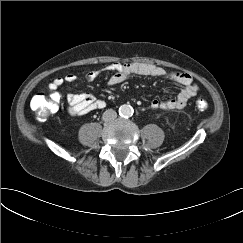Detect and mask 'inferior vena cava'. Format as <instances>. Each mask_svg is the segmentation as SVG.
<instances>
[{
	"instance_id": "obj_1",
	"label": "inferior vena cava",
	"mask_w": 243,
	"mask_h": 243,
	"mask_svg": "<svg viewBox=\"0 0 243 243\" xmlns=\"http://www.w3.org/2000/svg\"><path fill=\"white\" fill-rule=\"evenodd\" d=\"M116 117H117V113L113 109L106 110L102 116L105 122H112L116 119Z\"/></svg>"
}]
</instances>
